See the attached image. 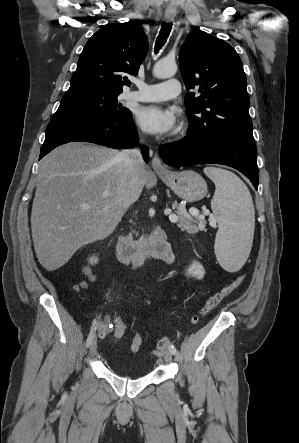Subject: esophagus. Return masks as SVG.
<instances>
[{"mask_svg":"<svg viewBox=\"0 0 299 443\" xmlns=\"http://www.w3.org/2000/svg\"><path fill=\"white\" fill-rule=\"evenodd\" d=\"M174 17H175L174 11L167 10L165 12L166 21H171L174 19ZM152 168L156 173H163L167 171V168L165 167V165L162 163L161 159L157 155H154L152 159Z\"/></svg>","mask_w":299,"mask_h":443,"instance_id":"34e87169","label":"esophagus"}]
</instances>
